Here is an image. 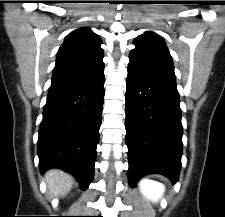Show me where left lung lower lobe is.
I'll list each match as a JSON object with an SVG mask.
<instances>
[{
	"instance_id": "0a47b994",
	"label": "left lung lower lobe",
	"mask_w": 225,
	"mask_h": 217,
	"mask_svg": "<svg viewBox=\"0 0 225 217\" xmlns=\"http://www.w3.org/2000/svg\"><path fill=\"white\" fill-rule=\"evenodd\" d=\"M126 83L130 185L150 173L178 181L183 132L175 78L128 67Z\"/></svg>"
}]
</instances>
